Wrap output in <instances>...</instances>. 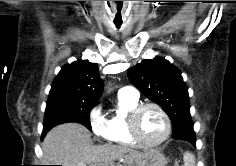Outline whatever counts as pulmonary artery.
I'll return each instance as SVG.
<instances>
[{"label": "pulmonary artery", "mask_w": 236, "mask_h": 166, "mask_svg": "<svg viewBox=\"0 0 236 166\" xmlns=\"http://www.w3.org/2000/svg\"><path fill=\"white\" fill-rule=\"evenodd\" d=\"M118 97L138 99L139 92L133 86H125L118 91Z\"/></svg>", "instance_id": "1"}]
</instances>
